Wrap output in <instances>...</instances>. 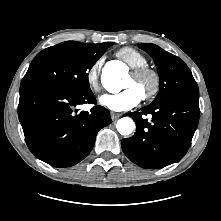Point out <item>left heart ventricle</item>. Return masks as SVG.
Masks as SVG:
<instances>
[{
	"label": "left heart ventricle",
	"mask_w": 221,
	"mask_h": 221,
	"mask_svg": "<svg viewBox=\"0 0 221 221\" xmlns=\"http://www.w3.org/2000/svg\"><path fill=\"white\" fill-rule=\"evenodd\" d=\"M128 86H134L136 87L141 95H143L144 92L149 90L151 86V81L149 78H144L141 80H136L131 73L128 75V77L125 79L123 87H128Z\"/></svg>",
	"instance_id": "1"
}]
</instances>
